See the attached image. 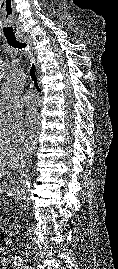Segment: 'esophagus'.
Instances as JSON below:
<instances>
[{"instance_id":"obj_1","label":"esophagus","mask_w":118,"mask_h":269,"mask_svg":"<svg viewBox=\"0 0 118 269\" xmlns=\"http://www.w3.org/2000/svg\"><path fill=\"white\" fill-rule=\"evenodd\" d=\"M22 41L26 42L30 46V48L32 49L33 57H34V60L36 61V70H37V73H39L40 63L37 59V52L34 48V44H33L32 40L30 38L25 37V38H22Z\"/></svg>"}]
</instances>
